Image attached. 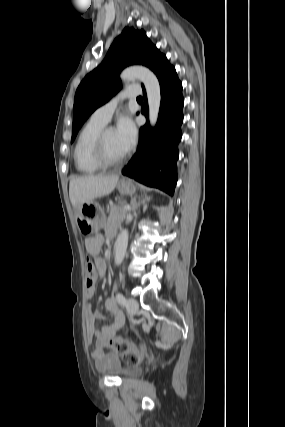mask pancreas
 Wrapping results in <instances>:
<instances>
[{
	"mask_svg": "<svg viewBox=\"0 0 285 427\" xmlns=\"http://www.w3.org/2000/svg\"><path fill=\"white\" fill-rule=\"evenodd\" d=\"M124 202H121L120 205L110 204V214L106 224L120 222L124 220L126 216V210L122 208Z\"/></svg>",
	"mask_w": 285,
	"mask_h": 427,
	"instance_id": "cf45deb5",
	"label": "pancreas"
}]
</instances>
